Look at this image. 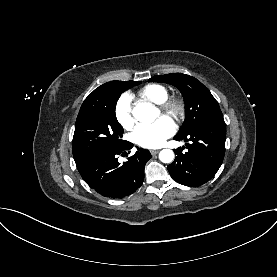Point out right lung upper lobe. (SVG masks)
<instances>
[{
	"instance_id": "1",
	"label": "right lung upper lobe",
	"mask_w": 277,
	"mask_h": 277,
	"mask_svg": "<svg viewBox=\"0 0 277 277\" xmlns=\"http://www.w3.org/2000/svg\"><path fill=\"white\" fill-rule=\"evenodd\" d=\"M104 87V85L99 86L97 89H95L83 102L82 106L86 105L87 103H89L91 100L95 99L100 91L102 90V88Z\"/></svg>"
}]
</instances>
